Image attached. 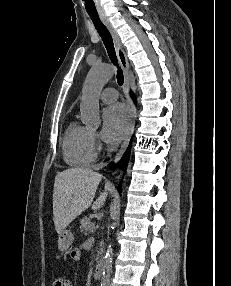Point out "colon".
<instances>
[{"instance_id":"obj_1","label":"colon","mask_w":231,"mask_h":286,"mask_svg":"<svg viewBox=\"0 0 231 286\" xmlns=\"http://www.w3.org/2000/svg\"><path fill=\"white\" fill-rule=\"evenodd\" d=\"M53 286H72L70 281L66 278H57L53 282Z\"/></svg>"}]
</instances>
